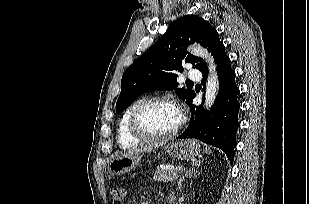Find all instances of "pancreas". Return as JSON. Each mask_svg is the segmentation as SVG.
<instances>
[{
	"instance_id": "1",
	"label": "pancreas",
	"mask_w": 309,
	"mask_h": 204,
	"mask_svg": "<svg viewBox=\"0 0 309 204\" xmlns=\"http://www.w3.org/2000/svg\"><path fill=\"white\" fill-rule=\"evenodd\" d=\"M180 168V166H177L169 169H157L154 175V180L160 182L173 181L177 178Z\"/></svg>"
}]
</instances>
